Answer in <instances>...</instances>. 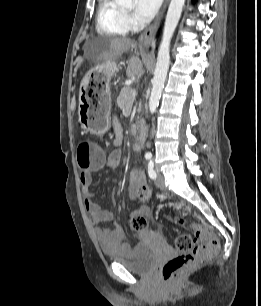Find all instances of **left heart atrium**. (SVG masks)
<instances>
[{"label": "left heart atrium", "mask_w": 261, "mask_h": 306, "mask_svg": "<svg viewBox=\"0 0 261 306\" xmlns=\"http://www.w3.org/2000/svg\"><path fill=\"white\" fill-rule=\"evenodd\" d=\"M162 0H135L134 15L138 20L151 19L159 9Z\"/></svg>", "instance_id": "obj_1"}]
</instances>
